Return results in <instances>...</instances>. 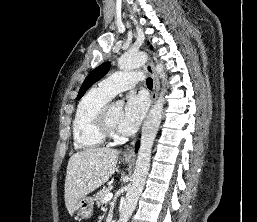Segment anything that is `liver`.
I'll use <instances>...</instances> for the list:
<instances>
[{"instance_id":"6515ba94","label":"liver","mask_w":257,"mask_h":222,"mask_svg":"<svg viewBox=\"0 0 257 222\" xmlns=\"http://www.w3.org/2000/svg\"><path fill=\"white\" fill-rule=\"evenodd\" d=\"M119 151L91 148L73 154L67 165L64 187L65 205L73 215L77 202L106 183L114 173Z\"/></svg>"}]
</instances>
